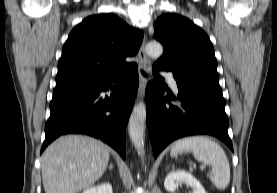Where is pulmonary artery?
I'll use <instances>...</instances> for the list:
<instances>
[{
  "mask_svg": "<svg viewBox=\"0 0 277 193\" xmlns=\"http://www.w3.org/2000/svg\"><path fill=\"white\" fill-rule=\"evenodd\" d=\"M162 75L166 78L167 82L169 83L170 87L173 89V90H177V82L173 76L172 73L170 72H164L162 73Z\"/></svg>",
  "mask_w": 277,
  "mask_h": 193,
  "instance_id": "e3ab8cb5",
  "label": "pulmonary artery"
}]
</instances>
